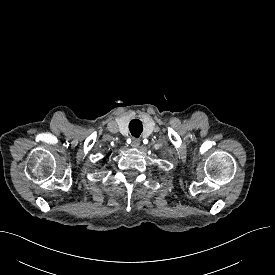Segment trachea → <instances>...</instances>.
Wrapping results in <instances>:
<instances>
[{"instance_id": "1", "label": "trachea", "mask_w": 275, "mask_h": 275, "mask_svg": "<svg viewBox=\"0 0 275 275\" xmlns=\"http://www.w3.org/2000/svg\"><path fill=\"white\" fill-rule=\"evenodd\" d=\"M129 129H130L131 134L134 137L138 138L143 131L142 122L138 119L132 120L129 124Z\"/></svg>"}]
</instances>
